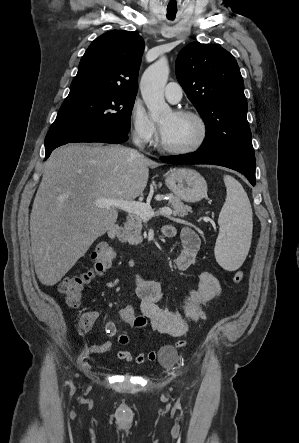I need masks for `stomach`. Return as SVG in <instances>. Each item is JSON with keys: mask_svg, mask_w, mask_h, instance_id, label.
I'll list each match as a JSON object with an SVG mask.
<instances>
[{"mask_svg": "<svg viewBox=\"0 0 299 443\" xmlns=\"http://www.w3.org/2000/svg\"><path fill=\"white\" fill-rule=\"evenodd\" d=\"M165 183L170 191L185 202H198L207 195L203 176L190 168H177L170 172Z\"/></svg>", "mask_w": 299, "mask_h": 443, "instance_id": "0dacf381", "label": "stomach"}]
</instances>
